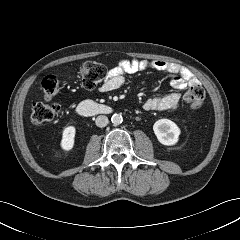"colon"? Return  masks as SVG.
<instances>
[{
    "label": "colon",
    "instance_id": "obj_1",
    "mask_svg": "<svg viewBox=\"0 0 240 240\" xmlns=\"http://www.w3.org/2000/svg\"><path fill=\"white\" fill-rule=\"evenodd\" d=\"M107 75V67L102 63L86 62L79 70L82 86L87 90L96 88ZM45 99H51L61 89L59 79L54 75L46 76L42 81ZM205 99L204 88L200 84L190 86L184 95V100L193 109L200 108ZM59 112L55 104L44 102L36 103L31 112V121L34 125H42L53 120Z\"/></svg>",
    "mask_w": 240,
    "mask_h": 240
}]
</instances>
